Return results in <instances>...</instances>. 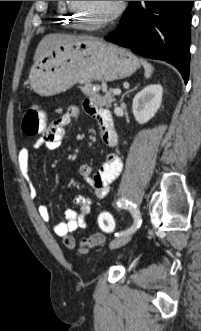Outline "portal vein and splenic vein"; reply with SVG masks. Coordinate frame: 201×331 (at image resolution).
<instances>
[{
  "label": "portal vein and splenic vein",
  "mask_w": 201,
  "mask_h": 331,
  "mask_svg": "<svg viewBox=\"0 0 201 331\" xmlns=\"http://www.w3.org/2000/svg\"><path fill=\"white\" fill-rule=\"evenodd\" d=\"M112 93L114 95H120L121 94V90L120 89H114Z\"/></svg>",
  "instance_id": "1"
}]
</instances>
